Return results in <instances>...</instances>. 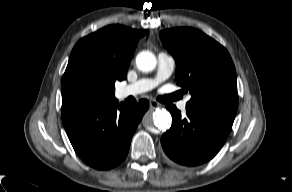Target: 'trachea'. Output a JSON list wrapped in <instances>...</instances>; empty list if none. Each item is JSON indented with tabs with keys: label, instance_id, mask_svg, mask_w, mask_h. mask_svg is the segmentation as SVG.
<instances>
[{
	"label": "trachea",
	"instance_id": "3493384b",
	"mask_svg": "<svg viewBox=\"0 0 292 192\" xmlns=\"http://www.w3.org/2000/svg\"><path fill=\"white\" fill-rule=\"evenodd\" d=\"M178 97L176 94H171V95H164V96H160L157 99L162 102V103H171L174 100H176Z\"/></svg>",
	"mask_w": 292,
	"mask_h": 192
}]
</instances>
